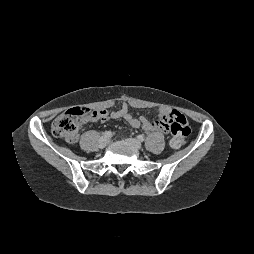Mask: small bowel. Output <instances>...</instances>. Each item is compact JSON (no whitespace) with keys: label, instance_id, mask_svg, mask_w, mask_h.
Here are the masks:
<instances>
[{"label":"small bowel","instance_id":"1","mask_svg":"<svg viewBox=\"0 0 254 254\" xmlns=\"http://www.w3.org/2000/svg\"><path fill=\"white\" fill-rule=\"evenodd\" d=\"M176 113L170 107L161 105L157 108V119L149 120L145 116H134L129 112L128 105L124 103L120 109L109 112L99 110L97 120L108 121L111 119H123L134 128H142L146 131L167 132L172 116Z\"/></svg>","mask_w":254,"mask_h":254}]
</instances>
